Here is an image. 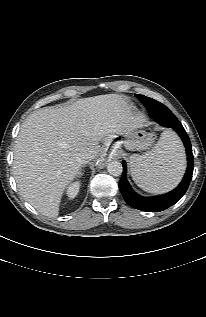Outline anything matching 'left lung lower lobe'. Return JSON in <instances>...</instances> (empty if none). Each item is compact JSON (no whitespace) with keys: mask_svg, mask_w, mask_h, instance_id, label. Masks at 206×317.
I'll return each instance as SVG.
<instances>
[{"mask_svg":"<svg viewBox=\"0 0 206 317\" xmlns=\"http://www.w3.org/2000/svg\"><path fill=\"white\" fill-rule=\"evenodd\" d=\"M151 104L153 105L146 104L150 117L159 122L160 125L174 129L180 136L187 154L188 166L186 173L182 182L171 192L154 197H143L131 188L126 178L127 166L125 161H122L123 173L119 181V188L129 206L146 212H160L174 205L187 191L192 178L194 158L189 137L178 119L165 105L161 103Z\"/></svg>","mask_w":206,"mask_h":317,"instance_id":"obj_1","label":"left lung lower lobe"}]
</instances>
